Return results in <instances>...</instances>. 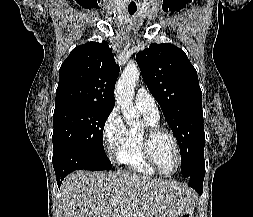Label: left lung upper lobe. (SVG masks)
I'll list each match as a JSON object with an SVG mask.
<instances>
[{
  "label": "left lung upper lobe",
  "instance_id": "1",
  "mask_svg": "<svg viewBox=\"0 0 253 217\" xmlns=\"http://www.w3.org/2000/svg\"><path fill=\"white\" fill-rule=\"evenodd\" d=\"M142 78L160 105L181 152L186 178L205 167L202 91L185 52L171 43L151 44L136 55Z\"/></svg>",
  "mask_w": 253,
  "mask_h": 217
}]
</instances>
